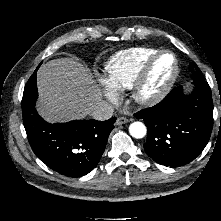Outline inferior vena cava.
Listing matches in <instances>:
<instances>
[{
	"mask_svg": "<svg viewBox=\"0 0 221 221\" xmlns=\"http://www.w3.org/2000/svg\"><path fill=\"white\" fill-rule=\"evenodd\" d=\"M114 107L107 102H100L92 111L91 116L93 119L104 121L113 116Z\"/></svg>",
	"mask_w": 221,
	"mask_h": 221,
	"instance_id": "602c4592",
	"label": "inferior vena cava"
}]
</instances>
